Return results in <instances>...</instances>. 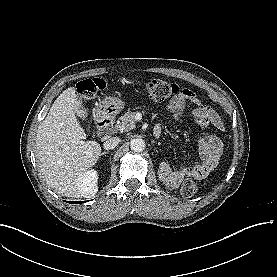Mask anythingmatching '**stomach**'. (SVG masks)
<instances>
[{"label":"stomach","instance_id":"1","mask_svg":"<svg viewBox=\"0 0 277 277\" xmlns=\"http://www.w3.org/2000/svg\"><path fill=\"white\" fill-rule=\"evenodd\" d=\"M125 102L121 97H106L102 104V111L108 115H116L124 108Z\"/></svg>","mask_w":277,"mask_h":277}]
</instances>
